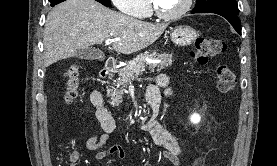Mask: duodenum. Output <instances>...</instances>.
<instances>
[{"instance_id":"duodenum-1","label":"duodenum","mask_w":277,"mask_h":166,"mask_svg":"<svg viewBox=\"0 0 277 166\" xmlns=\"http://www.w3.org/2000/svg\"><path fill=\"white\" fill-rule=\"evenodd\" d=\"M117 68H118L117 62L113 58H108L103 70L100 73L101 81L110 77L117 70ZM148 101H149L151 107L153 108V112L156 113L158 110L159 104H160V95H159L158 91H156V90L150 91V93L148 95ZM151 121L152 120H150L148 123H146L144 125V127L150 128Z\"/></svg>"}]
</instances>
